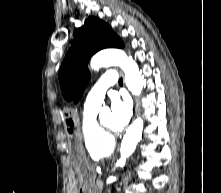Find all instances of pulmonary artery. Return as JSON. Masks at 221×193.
<instances>
[{"instance_id":"e3ab8cb5","label":"pulmonary artery","mask_w":221,"mask_h":193,"mask_svg":"<svg viewBox=\"0 0 221 193\" xmlns=\"http://www.w3.org/2000/svg\"><path fill=\"white\" fill-rule=\"evenodd\" d=\"M117 82V73L114 70L106 71L91 89L84 102V110H98L105 97L107 89Z\"/></svg>"}]
</instances>
